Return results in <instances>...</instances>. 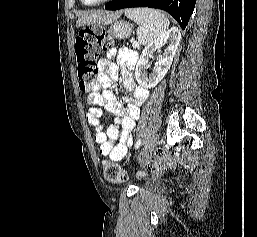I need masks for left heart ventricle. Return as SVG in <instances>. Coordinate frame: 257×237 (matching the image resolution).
Returning <instances> with one entry per match:
<instances>
[{"mask_svg":"<svg viewBox=\"0 0 257 237\" xmlns=\"http://www.w3.org/2000/svg\"><path fill=\"white\" fill-rule=\"evenodd\" d=\"M84 1L87 2V3H94V2H97L99 0H84Z\"/></svg>","mask_w":257,"mask_h":237,"instance_id":"b2bd125f","label":"left heart ventricle"}]
</instances>
